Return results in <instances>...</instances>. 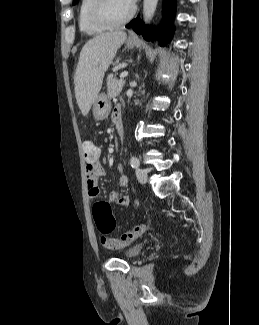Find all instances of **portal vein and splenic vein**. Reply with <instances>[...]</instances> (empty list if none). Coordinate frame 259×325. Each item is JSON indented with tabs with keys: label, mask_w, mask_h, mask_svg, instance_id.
<instances>
[{
	"label": "portal vein and splenic vein",
	"mask_w": 259,
	"mask_h": 325,
	"mask_svg": "<svg viewBox=\"0 0 259 325\" xmlns=\"http://www.w3.org/2000/svg\"><path fill=\"white\" fill-rule=\"evenodd\" d=\"M128 75L127 71H124L120 74V78H125Z\"/></svg>",
	"instance_id": "obj_1"
}]
</instances>
